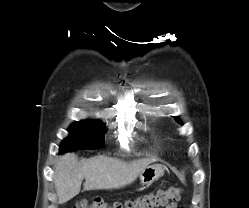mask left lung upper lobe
I'll return each instance as SVG.
<instances>
[{
	"label": "left lung upper lobe",
	"instance_id": "obj_1",
	"mask_svg": "<svg viewBox=\"0 0 249 208\" xmlns=\"http://www.w3.org/2000/svg\"><path fill=\"white\" fill-rule=\"evenodd\" d=\"M177 122H179V120L177 118H175Z\"/></svg>",
	"mask_w": 249,
	"mask_h": 208
}]
</instances>
